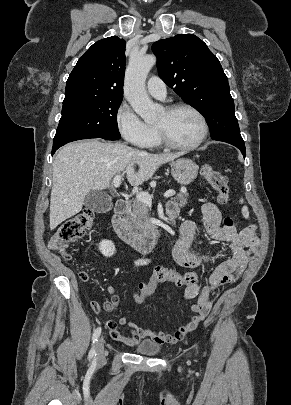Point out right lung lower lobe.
Masks as SVG:
<instances>
[{
    "instance_id": "98d812e1",
    "label": "right lung lower lobe",
    "mask_w": 291,
    "mask_h": 405,
    "mask_svg": "<svg viewBox=\"0 0 291 405\" xmlns=\"http://www.w3.org/2000/svg\"><path fill=\"white\" fill-rule=\"evenodd\" d=\"M56 150L52 151V154L55 152Z\"/></svg>"
}]
</instances>
